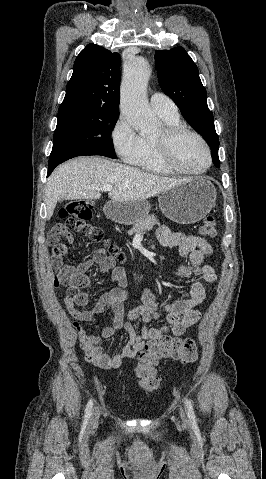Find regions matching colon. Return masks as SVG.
Masks as SVG:
<instances>
[{
  "label": "colon",
  "instance_id": "obj_1",
  "mask_svg": "<svg viewBox=\"0 0 266 479\" xmlns=\"http://www.w3.org/2000/svg\"><path fill=\"white\" fill-rule=\"evenodd\" d=\"M93 201L89 199L74 200L60 210L63 222L57 224L50 232L48 239L54 244L53 257H65L67 248L63 243L57 242L61 234L68 230H75L86 236L93 242H103L108 254L118 260H124V253L120 248L104 239L102 230L91 224ZM200 233L209 238H215L218 234L216 221L213 217H205L199 228ZM197 345L190 338H177L165 336L158 340L147 342L138 356V364L135 369L140 388L146 393L152 394L159 387V378L156 374L158 361L164 357L179 360L182 364H191L197 359Z\"/></svg>",
  "mask_w": 266,
  "mask_h": 479
}]
</instances>
